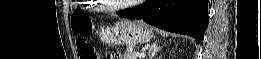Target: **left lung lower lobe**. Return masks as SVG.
<instances>
[{"instance_id": "obj_1", "label": "left lung lower lobe", "mask_w": 261, "mask_h": 59, "mask_svg": "<svg viewBox=\"0 0 261 59\" xmlns=\"http://www.w3.org/2000/svg\"><path fill=\"white\" fill-rule=\"evenodd\" d=\"M118 15L191 36L199 44L208 26V0H147L138 7L119 11Z\"/></svg>"}]
</instances>
